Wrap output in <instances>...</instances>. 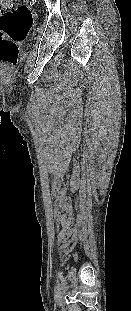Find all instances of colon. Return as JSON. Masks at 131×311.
Listing matches in <instances>:
<instances>
[{
	"label": "colon",
	"mask_w": 131,
	"mask_h": 311,
	"mask_svg": "<svg viewBox=\"0 0 131 311\" xmlns=\"http://www.w3.org/2000/svg\"><path fill=\"white\" fill-rule=\"evenodd\" d=\"M33 23L31 11L14 0H0V67L10 68L18 57L17 43L22 41Z\"/></svg>",
	"instance_id": "obj_1"
}]
</instances>
